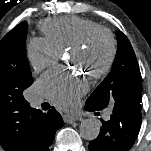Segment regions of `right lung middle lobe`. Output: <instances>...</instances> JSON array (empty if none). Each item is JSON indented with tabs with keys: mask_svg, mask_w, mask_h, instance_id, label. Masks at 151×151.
<instances>
[{
	"mask_svg": "<svg viewBox=\"0 0 151 151\" xmlns=\"http://www.w3.org/2000/svg\"><path fill=\"white\" fill-rule=\"evenodd\" d=\"M27 31L23 21L0 41V97L24 99V90L33 83L26 57Z\"/></svg>",
	"mask_w": 151,
	"mask_h": 151,
	"instance_id": "1",
	"label": "right lung middle lobe"
}]
</instances>
